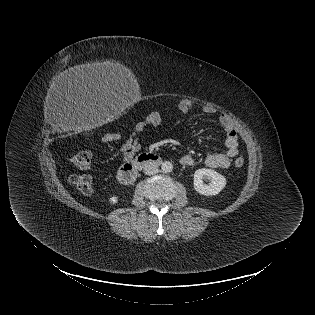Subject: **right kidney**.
<instances>
[{"label":"right kidney","mask_w":315,"mask_h":315,"mask_svg":"<svg viewBox=\"0 0 315 315\" xmlns=\"http://www.w3.org/2000/svg\"><path fill=\"white\" fill-rule=\"evenodd\" d=\"M118 200H119L118 196H112V197L109 198V202L111 204H116L118 202Z\"/></svg>","instance_id":"ca27d5eb"}]
</instances>
